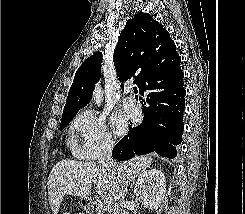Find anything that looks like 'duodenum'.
<instances>
[{
    "label": "duodenum",
    "instance_id": "410a0bca",
    "mask_svg": "<svg viewBox=\"0 0 245 214\" xmlns=\"http://www.w3.org/2000/svg\"><path fill=\"white\" fill-rule=\"evenodd\" d=\"M84 205L90 214H95V212L97 211V203L92 199L85 200ZM117 214H127V213L121 210H118Z\"/></svg>",
    "mask_w": 245,
    "mask_h": 214
}]
</instances>
